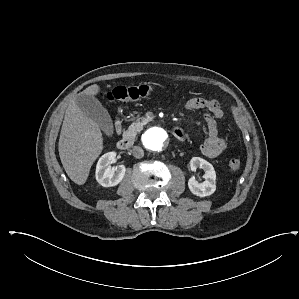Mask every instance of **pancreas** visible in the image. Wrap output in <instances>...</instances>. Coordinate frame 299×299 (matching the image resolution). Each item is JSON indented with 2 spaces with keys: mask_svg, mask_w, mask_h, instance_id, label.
I'll return each instance as SVG.
<instances>
[{
  "mask_svg": "<svg viewBox=\"0 0 299 299\" xmlns=\"http://www.w3.org/2000/svg\"><path fill=\"white\" fill-rule=\"evenodd\" d=\"M146 122V119L143 118L142 120H137L136 122L132 123L128 130L124 131L123 137L126 139H134L136 135L143 129V126Z\"/></svg>",
  "mask_w": 299,
  "mask_h": 299,
  "instance_id": "pancreas-1",
  "label": "pancreas"
}]
</instances>
